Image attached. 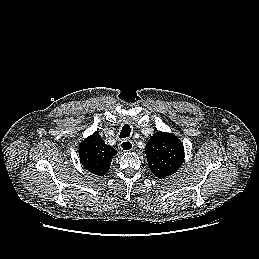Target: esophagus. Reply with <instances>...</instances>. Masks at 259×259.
Wrapping results in <instances>:
<instances>
[{
  "label": "esophagus",
  "instance_id": "obj_1",
  "mask_svg": "<svg viewBox=\"0 0 259 259\" xmlns=\"http://www.w3.org/2000/svg\"><path fill=\"white\" fill-rule=\"evenodd\" d=\"M119 148L123 152H130V151H132L134 149V143L132 141H130V140H123L119 144Z\"/></svg>",
  "mask_w": 259,
  "mask_h": 259
}]
</instances>
